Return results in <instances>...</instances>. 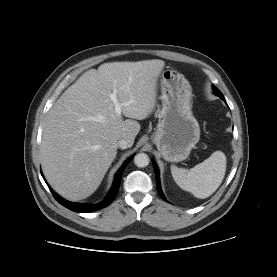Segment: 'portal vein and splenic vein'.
Wrapping results in <instances>:
<instances>
[{"instance_id":"1","label":"portal vein and splenic vein","mask_w":277,"mask_h":277,"mask_svg":"<svg viewBox=\"0 0 277 277\" xmlns=\"http://www.w3.org/2000/svg\"><path fill=\"white\" fill-rule=\"evenodd\" d=\"M110 100L113 102L114 104V108H115V112L120 115L121 111H122V107L123 106H128L130 103H120L118 98H117V94H116V90H114L111 94H110Z\"/></svg>"}]
</instances>
